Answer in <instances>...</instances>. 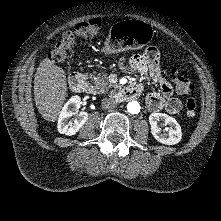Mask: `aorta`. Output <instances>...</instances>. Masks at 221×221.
<instances>
[{
  "instance_id": "762f6f07",
  "label": "aorta",
  "mask_w": 221,
  "mask_h": 221,
  "mask_svg": "<svg viewBox=\"0 0 221 221\" xmlns=\"http://www.w3.org/2000/svg\"><path fill=\"white\" fill-rule=\"evenodd\" d=\"M140 104L137 101H130L127 104V110L131 114H138L140 112Z\"/></svg>"
}]
</instances>
